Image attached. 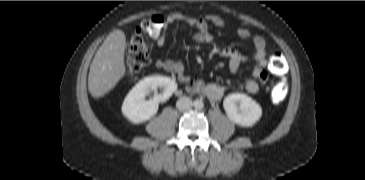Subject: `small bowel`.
I'll return each mask as SVG.
<instances>
[{
  "mask_svg": "<svg viewBox=\"0 0 365 180\" xmlns=\"http://www.w3.org/2000/svg\"><path fill=\"white\" fill-rule=\"evenodd\" d=\"M181 22L196 28L195 39L199 42H211L213 35L209 30V23L217 28L224 29L226 22L220 16L210 15L207 18H195L187 16L182 13L169 14L165 19V26L163 31L155 37V42L158 47H162L166 41L167 27L174 23ZM237 36L241 39L251 38L254 52L252 55L253 69L252 79L245 83V90L249 94H256L260 85L267 81V52L266 43L263 37L253 36L247 28H239ZM222 55L228 60L231 72L236 73L240 66L247 61V58L232 47H226L222 50ZM156 66L168 72H173L177 75L180 82L186 84V89L190 93H200L205 95L208 99L216 101L219 100L225 93L226 88L219 83H206L202 80H191L185 73L184 66L179 61L171 59H159L156 61Z\"/></svg>",
  "mask_w": 365,
  "mask_h": 180,
  "instance_id": "obj_1",
  "label": "small bowel"
}]
</instances>
